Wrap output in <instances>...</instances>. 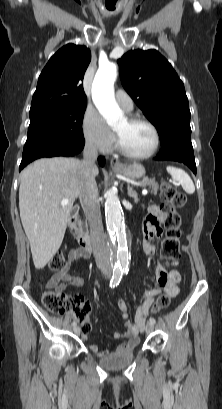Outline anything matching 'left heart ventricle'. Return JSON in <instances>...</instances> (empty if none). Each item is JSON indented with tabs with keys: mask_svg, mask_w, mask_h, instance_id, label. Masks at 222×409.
Here are the masks:
<instances>
[{
	"mask_svg": "<svg viewBox=\"0 0 222 409\" xmlns=\"http://www.w3.org/2000/svg\"><path fill=\"white\" fill-rule=\"evenodd\" d=\"M113 129L123 147L131 153L144 154L154 144V134L145 124H131L124 119Z\"/></svg>",
	"mask_w": 222,
	"mask_h": 409,
	"instance_id": "obj_1",
	"label": "left heart ventricle"
}]
</instances>
